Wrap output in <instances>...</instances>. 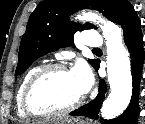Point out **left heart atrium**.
Returning a JSON list of instances; mask_svg holds the SVG:
<instances>
[{
  "mask_svg": "<svg viewBox=\"0 0 145 124\" xmlns=\"http://www.w3.org/2000/svg\"><path fill=\"white\" fill-rule=\"evenodd\" d=\"M70 75L77 86V89L81 95L88 92L92 85V75L83 63H78L71 71Z\"/></svg>",
  "mask_w": 145,
  "mask_h": 124,
  "instance_id": "obj_1",
  "label": "left heart atrium"
}]
</instances>
